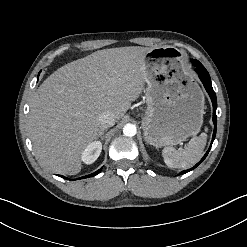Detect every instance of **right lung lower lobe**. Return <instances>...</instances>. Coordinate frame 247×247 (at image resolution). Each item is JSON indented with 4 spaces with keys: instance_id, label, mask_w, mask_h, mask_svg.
Listing matches in <instances>:
<instances>
[{
    "instance_id": "obj_1",
    "label": "right lung lower lobe",
    "mask_w": 247,
    "mask_h": 247,
    "mask_svg": "<svg viewBox=\"0 0 247 247\" xmlns=\"http://www.w3.org/2000/svg\"><path fill=\"white\" fill-rule=\"evenodd\" d=\"M101 170H102V168H100L99 170H97L96 172H94V173H92V174H90V175H87V176L81 177L80 179H83V178H88V177H93V176L97 175L98 173H100V172H101ZM59 176L65 179V177H64V176H61V175H59Z\"/></svg>"
}]
</instances>
